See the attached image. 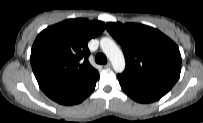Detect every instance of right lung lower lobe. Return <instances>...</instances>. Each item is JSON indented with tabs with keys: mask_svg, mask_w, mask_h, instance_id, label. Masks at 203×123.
I'll list each match as a JSON object with an SVG mask.
<instances>
[{
	"mask_svg": "<svg viewBox=\"0 0 203 123\" xmlns=\"http://www.w3.org/2000/svg\"><path fill=\"white\" fill-rule=\"evenodd\" d=\"M99 75L85 82L60 84L47 88L43 92L55 102L62 105H74L87 98L96 86Z\"/></svg>",
	"mask_w": 203,
	"mask_h": 123,
	"instance_id": "98d812e1",
	"label": "right lung lower lobe"
}]
</instances>
